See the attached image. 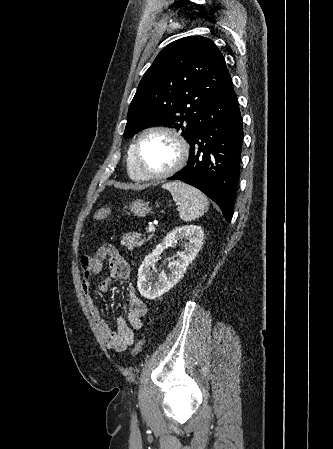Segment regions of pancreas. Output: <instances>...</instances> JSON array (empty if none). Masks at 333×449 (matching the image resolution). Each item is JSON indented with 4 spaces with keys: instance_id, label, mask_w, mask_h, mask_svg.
Returning <instances> with one entry per match:
<instances>
[{
    "instance_id": "obj_1",
    "label": "pancreas",
    "mask_w": 333,
    "mask_h": 449,
    "mask_svg": "<svg viewBox=\"0 0 333 449\" xmlns=\"http://www.w3.org/2000/svg\"><path fill=\"white\" fill-rule=\"evenodd\" d=\"M141 237H143L141 239ZM152 238V235L146 236L138 232H130L121 237V245L126 246L128 249H133L135 247L141 246L144 242H147Z\"/></svg>"
}]
</instances>
